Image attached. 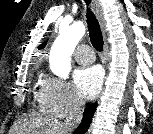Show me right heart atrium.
<instances>
[{
    "instance_id": "d8ad5b80",
    "label": "right heart atrium",
    "mask_w": 153,
    "mask_h": 134,
    "mask_svg": "<svg viewBox=\"0 0 153 134\" xmlns=\"http://www.w3.org/2000/svg\"><path fill=\"white\" fill-rule=\"evenodd\" d=\"M39 103L42 109L59 118L74 115L83 106V101L70 84L54 76L44 79Z\"/></svg>"
}]
</instances>
